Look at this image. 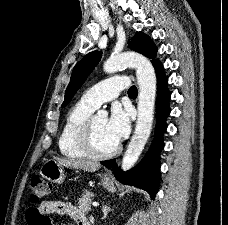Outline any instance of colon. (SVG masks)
I'll return each instance as SVG.
<instances>
[{
	"instance_id": "1",
	"label": "colon",
	"mask_w": 228,
	"mask_h": 225,
	"mask_svg": "<svg viewBox=\"0 0 228 225\" xmlns=\"http://www.w3.org/2000/svg\"><path fill=\"white\" fill-rule=\"evenodd\" d=\"M47 182L39 176H34L30 182V201L32 204H39L43 197L48 196L49 187Z\"/></svg>"
}]
</instances>
